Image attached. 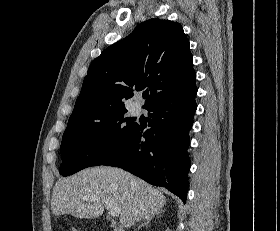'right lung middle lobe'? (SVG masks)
<instances>
[{
	"label": "right lung middle lobe",
	"mask_w": 280,
	"mask_h": 231,
	"mask_svg": "<svg viewBox=\"0 0 280 231\" xmlns=\"http://www.w3.org/2000/svg\"><path fill=\"white\" fill-rule=\"evenodd\" d=\"M126 112L94 119L69 120L61 143L60 174L69 176L107 160L137 126L126 118Z\"/></svg>",
	"instance_id": "1"
}]
</instances>
